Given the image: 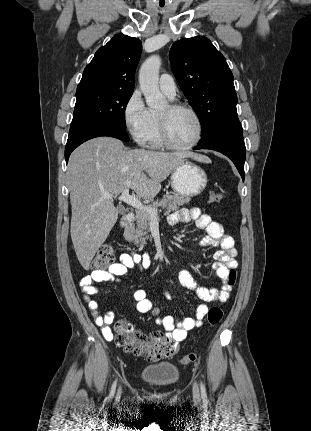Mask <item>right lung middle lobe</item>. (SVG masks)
Wrapping results in <instances>:
<instances>
[{
	"instance_id": "obj_1",
	"label": "right lung middle lobe",
	"mask_w": 311,
	"mask_h": 431,
	"mask_svg": "<svg viewBox=\"0 0 311 431\" xmlns=\"http://www.w3.org/2000/svg\"><path fill=\"white\" fill-rule=\"evenodd\" d=\"M132 93L95 88L76 91L70 129L93 122L126 128L125 109Z\"/></svg>"
}]
</instances>
